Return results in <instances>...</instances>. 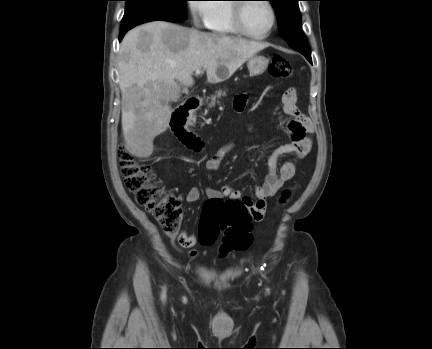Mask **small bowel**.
Returning <instances> with one entry per match:
<instances>
[{
    "mask_svg": "<svg viewBox=\"0 0 432 349\" xmlns=\"http://www.w3.org/2000/svg\"><path fill=\"white\" fill-rule=\"evenodd\" d=\"M248 102L246 94L237 95L233 102L236 112H242ZM284 114L291 119L287 122L289 131V141L279 146L269 157L267 162V172L264 183L255 189V199L242 194L231 185H225L221 189L206 188V195L210 200H222L228 197L232 200H241L248 205L252 220L259 222L263 220L266 213L267 199L274 196L285 182L290 180L295 172V162H285L279 168V158L285 154H293L296 160L303 159L311 150L314 126L311 120L301 113L296 105V91L289 88L282 96ZM234 148L233 142H228L219 148L210 158L207 159L205 166L209 171H215L225 155ZM200 189L192 187L187 195L186 202L194 203L200 198ZM177 241L183 248H192L197 242V236L188 231H182L177 236ZM191 257L197 255V251L190 250Z\"/></svg>",
    "mask_w": 432,
    "mask_h": 349,
    "instance_id": "obj_1",
    "label": "small bowel"
}]
</instances>
